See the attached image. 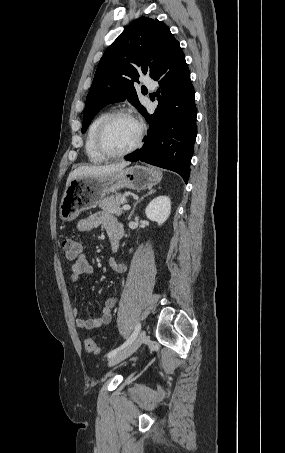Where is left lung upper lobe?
<instances>
[{"instance_id": "5c2ea615", "label": "left lung upper lobe", "mask_w": 285, "mask_h": 453, "mask_svg": "<svg viewBox=\"0 0 285 453\" xmlns=\"http://www.w3.org/2000/svg\"><path fill=\"white\" fill-rule=\"evenodd\" d=\"M177 44L169 27L157 19L140 17L131 23L100 59L86 98L82 133L107 104L128 99L142 113L145 108L138 100L134 81L140 73L153 78Z\"/></svg>"}]
</instances>
